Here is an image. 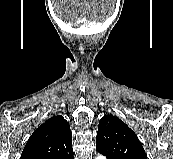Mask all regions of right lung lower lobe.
Returning a JSON list of instances; mask_svg holds the SVG:
<instances>
[{"instance_id":"1","label":"right lung lower lobe","mask_w":173,"mask_h":159,"mask_svg":"<svg viewBox=\"0 0 173 159\" xmlns=\"http://www.w3.org/2000/svg\"><path fill=\"white\" fill-rule=\"evenodd\" d=\"M68 159H73V154H72V156L68 157Z\"/></svg>"}]
</instances>
